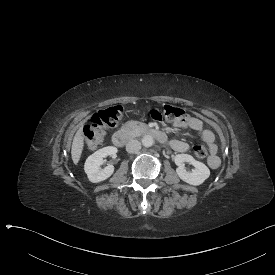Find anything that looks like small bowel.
<instances>
[{
  "label": "small bowel",
  "instance_id": "small-bowel-1",
  "mask_svg": "<svg viewBox=\"0 0 275 275\" xmlns=\"http://www.w3.org/2000/svg\"><path fill=\"white\" fill-rule=\"evenodd\" d=\"M174 125L179 129L189 128L194 132H197L200 134L201 139L209 146L211 155L208 159V165L212 169H216L220 165V159L216 155L217 152V145L215 143V136L214 133L209 129L203 128L202 121L194 116H189L188 118L174 122ZM171 146L174 150L184 153L188 151L189 145L185 141L181 140H173L171 142Z\"/></svg>",
  "mask_w": 275,
  "mask_h": 275
}]
</instances>
